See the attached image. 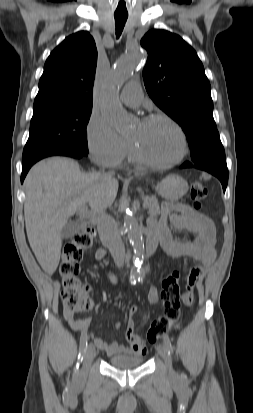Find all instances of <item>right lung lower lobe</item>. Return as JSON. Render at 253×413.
I'll list each match as a JSON object with an SVG mask.
<instances>
[{"label": "right lung lower lobe", "instance_id": "1", "mask_svg": "<svg viewBox=\"0 0 253 413\" xmlns=\"http://www.w3.org/2000/svg\"><path fill=\"white\" fill-rule=\"evenodd\" d=\"M54 155H62V156H68V157H73V158H81L83 156H86L84 153L78 152V151H60L56 152L53 154H48V155H43V156H38L26 160H22V174H21V182H23L27 172L29 171L30 167L36 163L37 161L49 157V156H54Z\"/></svg>", "mask_w": 253, "mask_h": 413}]
</instances>
